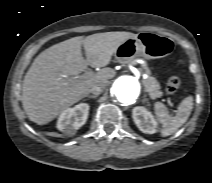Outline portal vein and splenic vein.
Listing matches in <instances>:
<instances>
[{"label":"portal vein and splenic vein","mask_w":212,"mask_h":183,"mask_svg":"<svg viewBox=\"0 0 212 183\" xmlns=\"http://www.w3.org/2000/svg\"><path fill=\"white\" fill-rule=\"evenodd\" d=\"M91 74H92V72H86L85 75H84V77H85V76H89V75H91Z\"/></svg>","instance_id":"1"}]
</instances>
